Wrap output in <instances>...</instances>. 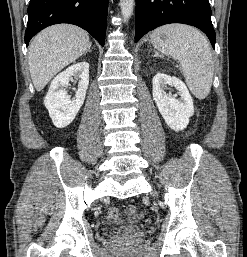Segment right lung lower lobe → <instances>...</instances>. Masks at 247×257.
Segmentation results:
<instances>
[{"instance_id": "98d812e1", "label": "right lung lower lobe", "mask_w": 247, "mask_h": 257, "mask_svg": "<svg viewBox=\"0 0 247 257\" xmlns=\"http://www.w3.org/2000/svg\"><path fill=\"white\" fill-rule=\"evenodd\" d=\"M108 0H31L25 43L47 26L77 25L88 31L102 46L105 42Z\"/></svg>"}]
</instances>
